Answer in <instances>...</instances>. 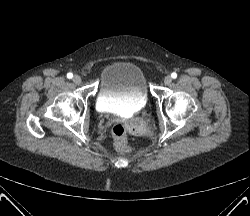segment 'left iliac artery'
<instances>
[{"mask_svg": "<svg viewBox=\"0 0 250 216\" xmlns=\"http://www.w3.org/2000/svg\"><path fill=\"white\" fill-rule=\"evenodd\" d=\"M171 77H172L173 79H175V78H177V74H176L175 72H173V73L171 74Z\"/></svg>", "mask_w": 250, "mask_h": 216, "instance_id": "obj_1", "label": "left iliac artery"}]
</instances>
